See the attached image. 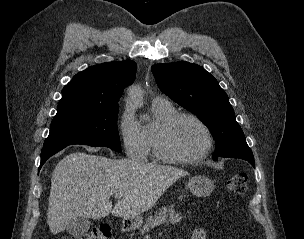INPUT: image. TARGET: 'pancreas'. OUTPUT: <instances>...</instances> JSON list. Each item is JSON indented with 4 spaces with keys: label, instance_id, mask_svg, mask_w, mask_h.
Listing matches in <instances>:
<instances>
[{
    "label": "pancreas",
    "instance_id": "1",
    "mask_svg": "<svg viewBox=\"0 0 304 239\" xmlns=\"http://www.w3.org/2000/svg\"><path fill=\"white\" fill-rule=\"evenodd\" d=\"M181 219V214L175 212L173 205L168 208L162 207L159 212H156L154 217L147 218L146 224L141 231L145 232V230L148 228H154L156 225L164 223L175 224L178 223Z\"/></svg>",
    "mask_w": 304,
    "mask_h": 239
}]
</instances>
